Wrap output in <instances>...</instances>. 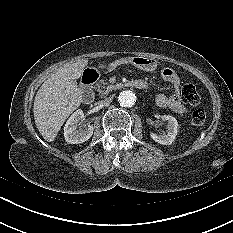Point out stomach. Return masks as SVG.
Listing matches in <instances>:
<instances>
[{
	"instance_id": "stomach-1",
	"label": "stomach",
	"mask_w": 233,
	"mask_h": 233,
	"mask_svg": "<svg viewBox=\"0 0 233 233\" xmlns=\"http://www.w3.org/2000/svg\"><path fill=\"white\" fill-rule=\"evenodd\" d=\"M133 64L137 68L144 71H154L157 67V61L153 58L146 56H134V55H125V56H114L112 62L106 64V69L108 71H113L115 65H125Z\"/></svg>"
}]
</instances>
